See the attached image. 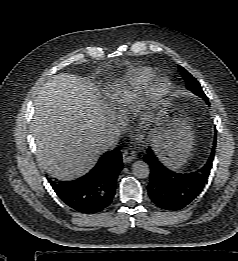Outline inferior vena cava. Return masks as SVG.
<instances>
[{
    "mask_svg": "<svg viewBox=\"0 0 238 261\" xmlns=\"http://www.w3.org/2000/svg\"><path fill=\"white\" fill-rule=\"evenodd\" d=\"M120 135V130L115 125H108L106 128V133L101 142V149L103 151H108L113 148L117 144Z\"/></svg>",
    "mask_w": 238,
    "mask_h": 261,
    "instance_id": "obj_1",
    "label": "inferior vena cava"
}]
</instances>
